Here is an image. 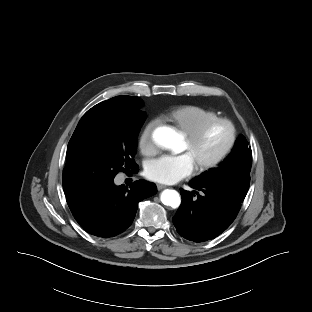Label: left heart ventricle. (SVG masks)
<instances>
[{"label":"left heart ventricle","instance_id":"left-heart-ventricle-1","mask_svg":"<svg viewBox=\"0 0 312 312\" xmlns=\"http://www.w3.org/2000/svg\"><path fill=\"white\" fill-rule=\"evenodd\" d=\"M229 135L226 125L217 124L193 147H189L184 139L180 152L187 154L197 166L217 156L227 145Z\"/></svg>","mask_w":312,"mask_h":312}]
</instances>
